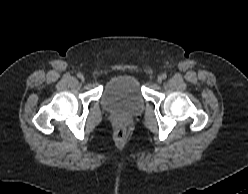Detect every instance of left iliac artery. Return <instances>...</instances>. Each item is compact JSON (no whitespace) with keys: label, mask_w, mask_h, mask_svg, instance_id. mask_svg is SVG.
I'll return each mask as SVG.
<instances>
[{"label":"left iliac artery","mask_w":248,"mask_h":194,"mask_svg":"<svg viewBox=\"0 0 248 194\" xmlns=\"http://www.w3.org/2000/svg\"><path fill=\"white\" fill-rule=\"evenodd\" d=\"M162 78L163 79H166L167 78V75L166 74H162Z\"/></svg>","instance_id":"1"}]
</instances>
